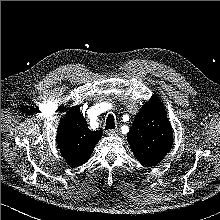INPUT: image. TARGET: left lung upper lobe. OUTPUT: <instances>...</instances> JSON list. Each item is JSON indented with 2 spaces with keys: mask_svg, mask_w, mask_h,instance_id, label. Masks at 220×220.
Segmentation results:
<instances>
[{
  "mask_svg": "<svg viewBox=\"0 0 220 220\" xmlns=\"http://www.w3.org/2000/svg\"><path fill=\"white\" fill-rule=\"evenodd\" d=\"M127 139L134 156L145 166L156 165L171 149V124L162 102L155 95L136 115Z\"/></svg>",
  "mask_w": 220,
  "mask_h": 220,
  "instance_id": "obj_1",
  "label": "left lung upper lobe"
}]
</instances>
